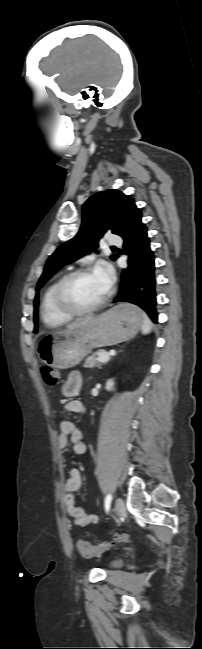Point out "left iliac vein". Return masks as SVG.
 <instances>
[{
	"label": "left iliac vein",
	"mask_w": 202,
	"mask_h": 649,
	"mask_svg": "<svg viewBox=\"0 0 202 649\" xmlns=\"http://www.w3.org/2000/svg\"><path fill=\"white\" fill-rule=\"evenodd\" d=\"M115 511L118 517H123L125 515V504L121 498H117L115 501Z\"/></svg>",
	"instance_id": "obj_1"
}]
</instances>
